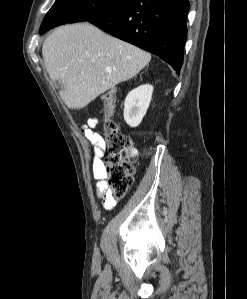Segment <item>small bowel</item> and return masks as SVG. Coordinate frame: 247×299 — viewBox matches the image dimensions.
<instances>
[{"label": "small bowel", "mask_w": 247, "mask_h": 299, "mask_svg": "<svg viewBox=\"0 0 247 299\" xmlns=\"http://www.w3.org/2000/svg\"><path fill=\"white\" fill-rule=\"evenodd\" d=\"M98 123L96 118H89L87 123L82 128V133L86 140L93 145V160L92 170L95 179H97L96 185V197L102 200L104 209L111 210L116 200L111 192L108 190L103 178V162L101 157L104 153V140L103 137L94 130Z\"/></svg>", "instance_id": "small-bowel-1"}]
</instances>
